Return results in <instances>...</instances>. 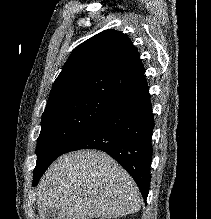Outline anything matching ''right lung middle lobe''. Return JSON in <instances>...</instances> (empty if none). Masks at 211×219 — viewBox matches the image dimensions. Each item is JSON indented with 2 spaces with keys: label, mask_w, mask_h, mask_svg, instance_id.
I'll return each mask as SVG.
<instances>
[{
  "label": "right lung middle lobe",
  "mask_w": 211,
  "mask_h": 219,
  "mask_svg": "<svg viewBox=\"0 0 211 219\" xmlns=\"http://www.w3.org/2000/svg\"><path fill=\"white\" fill-rule=\"evenodd\" d=\"M116 104L96 97L64 100L46 107L37 140V162L33 185L49 165L82 133L89 129Z\"/></svg>",
  "instance_id": "dd1d6c3e"
}]
</instances>
